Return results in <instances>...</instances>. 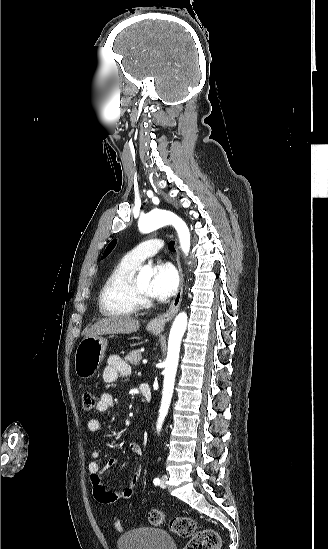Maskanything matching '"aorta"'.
<instances>
[{
  "label": "aorta",
  "mask_w": 328,
  "mask_h": 549,
  "mask_svg": "<svg viewBox=\"0 0 328 549\" xmlns=\"http://www.w3.org/2000/svg\"><path fill=\"white\" fill-rule=\"evenodd\" d=\"M166 225H172L176 229L181 249L185 254H187L190 249V232L186 223L176 214L167 210H153L148 214L141 216L138 221V227L142 233H150ZM152 275V270L145 267L139 272L138 279L149 281ZM187 322V314L185 312H181L176 316L170 330L167 358L165 362V369L163 371L164 383L162 401L159 410V418L157 421L158 431L162 428L164 419L170 407L179 362L180 346L186 330Z\"/></svg>",
  "instance_id": "1"
}]
</instances>
